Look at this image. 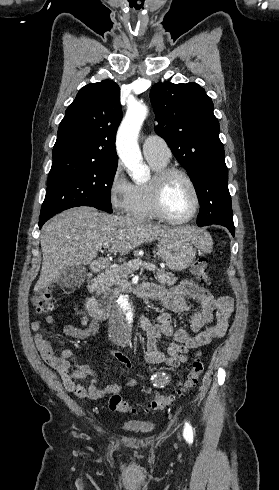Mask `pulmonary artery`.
<instances>
[{"mask_svg":"<svg viewBox=\"0 0 279 490\" xmlns=\"http://www.w3.org/2000/svg\"><path fill=\"white\" fill-rule=\"evenodd\" d=\"M142 148L146 159L165 163L168 162L172 156L171 150L165 139L156 133H151L146 136Z\"/></svg>","mask_w":279,"mask_h":490,"instance_id":"obj_1","label":"pulmonary artery"}]
</instances>
